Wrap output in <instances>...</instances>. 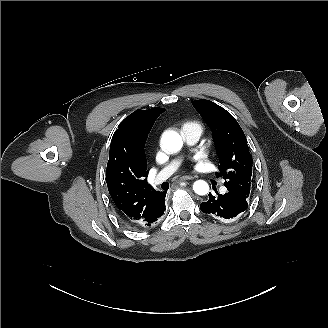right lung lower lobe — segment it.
<instances>
[{"label":"right lung lower lobe","mask_w":328,"mask_h":328,"mask_svg":"<svg viewBox=\"0 0 328 328\" xmlns=\"http://www.w3.org/2000/svg\"><path fill=\"white\" fill-rule=\"evenodd\" d=\"M165 207H166L165 206V193L160 192V195L158 196V198L156 200L155 208L153 210V214L151 215V217H149L146 221H142L141 223H139L137 225H133V224L129 225V223H126V224H128L132 228H147V227L154 226L161 219V216L164 213Z\"/></svg>","instance_id":"98d812e1"}]
</instances>
